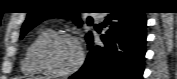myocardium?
<instances>
[{"label":"myocardium","instance_id":"myocardium-1","mask_svg":"<svg viewBox=\"0 0 177 79\" xmlns=\"http://www.w3.org/2000/svg\"><path fill=\"white\" fill-rule=\"evenodd\" d=\"M56 40L72 41L73 43L76 44V46L78 48V52H79L78 61L76 62V64L72 68H70L68 70H65V71L52 70L51 68L46 66L42 61V57H41L42 50L49 43H51L53 41H56ZM84 61H85V53H84V49L82 47V44L80 43V41L78 40L77 37H75L74 35H71V34H66V33L49 34L48 36L43 38L36 45V47L34 48V51H33V62L35 64V66L42 73L47 74V75H52V76H68V75H71V74L77 72L83 66Z\"/></svg>","mask_w":177,"mask_h":79}]
</instances>
